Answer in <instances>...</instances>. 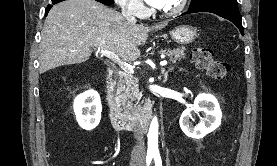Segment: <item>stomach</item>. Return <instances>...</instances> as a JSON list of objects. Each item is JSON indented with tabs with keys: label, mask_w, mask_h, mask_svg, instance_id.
<instances>
[{
	"label": "stomach",
	"mask_w": 277,
	"mask_h": 166,
	"mask_svg": "<svg viewBox=\"0 0 277 166\" xmlns=\"http://www.w3.org/2000/svg\"><path fill=\"white\" fill-rule=\"evenodd\" d=\"M172 39L179 44H190L197 38V31L189 25H180L172 31Z\"/></svg>",
	"instance_id": "1"
}]
</instances>
